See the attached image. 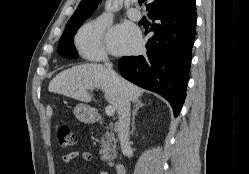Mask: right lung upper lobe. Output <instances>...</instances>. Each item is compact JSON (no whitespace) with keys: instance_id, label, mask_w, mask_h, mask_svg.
<instances>
[{"instance_id":"obj_1","label":"right lung upper lobe","mask_w":249,"mask_h":174,"mask_svg":"<svg viewBox=\"0 0 249 174\" xmlns=\"http://www.w3.org/2000/svg\"><path fill=\"white\" fill-rule=\"evenodd\" d=\"M101 0H81L77 10L69 19L68 23L84 21L91 16L94 9ZM146 1V0H144ZM149 4L146 5V10L150 13L160 7L175 4L182 0H147ZM148 13V14H149Z\"/></svg>"}]
</instances>
